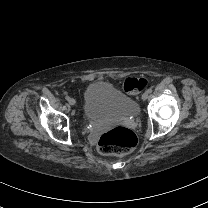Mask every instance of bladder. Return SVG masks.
<instances>
[{
	"label": "bladder",
	"mask_w": 208,
	"mask_h": 208,
	"mask_svg": "<svg viewBox=\"0 0 208 208\" xmlns=\"http://www.w3.org/2000/svg\"><path fill=\"white\" fill-rule=\"evenodd\" d=\"M83 100V116L90 118H127L139 112L135 99L104 82L90 83Z\"/></svg>",
	"instance_id": "1"
}]
</instances>
